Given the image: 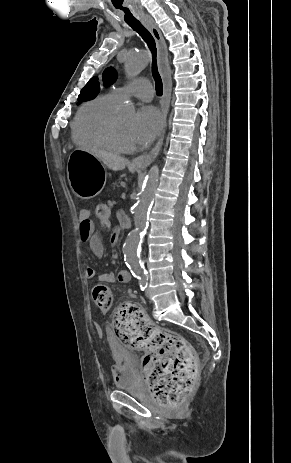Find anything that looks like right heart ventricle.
<instances>
[{
	"mask_svg": "<svg viewBox=\"0 0 291 463\" xmlns=\"http://www.w3.org/2000/svg\"><path fill=\"white\" fill-rule=\"evenodd\" d=\"M117 102L111 92L86 102L77 112L72 124V139L91 150H111L105 129L113 118Z\"/></svg>",
	"mask_w": 291,
	"mask_h": 463,
	"instance_id": "1",
	"label": "right heart ventricle"
}]
</instances>
